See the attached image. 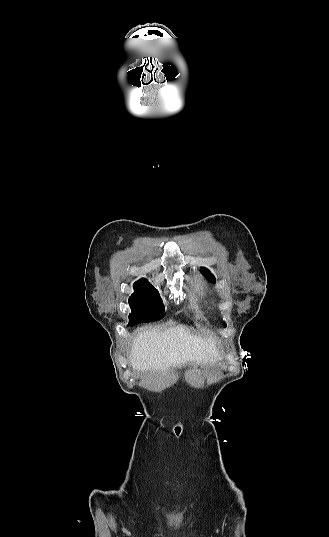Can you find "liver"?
<instances>
[{"instance_id":"1","label":"liver","mask_w":329,"mask_h":537,"mask_svg":"<svg viewBox=\"0 0 329 537\" xmlns=\"http://www.w3.org/2000/svg\"><path fill=\"white\" fill-rule=\"evenodd\" d=\"M217 338L202 337L184 325L173 326L164 332L156 327L141 329L133 339L130 363L139 371H165L188 363L213 364L220 359Z\"/></svg>"}]
</instances>
